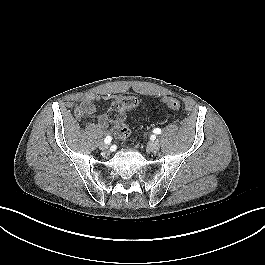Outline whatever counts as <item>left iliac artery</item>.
<instances>
[{"label": "left iliac artery", "mask_w": 265, "mask_h": 265, "mask_svg": "<svg viewBox=\"0 0 265 265\" xmlns=\"http://www.w3.org/2000/svg\"><path fill=\"white\" fill-rule=\"evenodd\" d=\"M153 132H154L155 134H160V133H161V129H159V128H155V129L153 130Z\"/></svg>", "instance_id": "obj_1"}]
</instances>
